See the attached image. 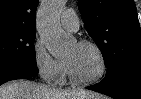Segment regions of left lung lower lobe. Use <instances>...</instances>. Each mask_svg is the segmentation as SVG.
<instances>
[{"label": "left lung lower lobe", "mask_w": 141, "mask_h": 99, "mask_svg": "<svg viewBox=\"0 0 141 99\" xmlns=\"http://www.w3.org/2000/svg\"><path fill=\"white\" fill-rule=\"evenodd\" d=\"M87 89L114 99H141V66H125Z\"/></svg>", "instance_id": "obj_1"}]
</instances>
